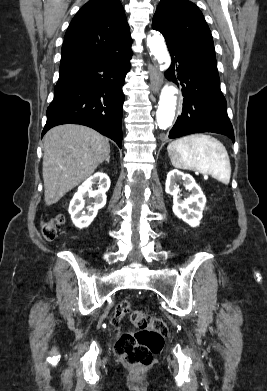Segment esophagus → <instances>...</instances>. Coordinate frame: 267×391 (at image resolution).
<instances>
[{"instance_id": "obj_1", "label": "esophagus", "mask_w": 267, "mask_h": 391, "mask_svg": "<svg viewBox=\"0 0 267 391\" xmlns=\"http://www.w3.org/2000/svg\"><path fill=\"white\" fill-rule=\"evenodd\" d=\"M150 86L154 93H158L162 86V76L158 68L152 64L149 65Z\"/></svg>"}]
</instances>
